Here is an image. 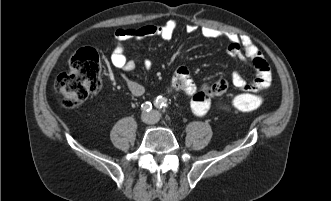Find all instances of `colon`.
<instances>
[{"instance_id":"5ec220e1","label":"colon","mask_w":331,"mask_h":201,"mask_svg":"<svg viewBox=\"0 0 331 201\" xmlns=\"http://www.w3.org/2000/svg\"><path fill=\"white\" fill-rule=\"evenodd\" d=\"M100 72L97 51L91 47L81 48L71 57L68 70L56 78L54 91L61 96L66 108H74L101 90ZM263 101L258 93H244L234 96L229 105L234 111L250 112L260 108Z\"/></svg>"}]
</instances>
